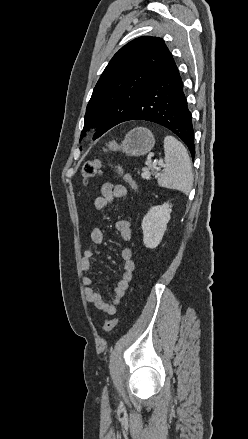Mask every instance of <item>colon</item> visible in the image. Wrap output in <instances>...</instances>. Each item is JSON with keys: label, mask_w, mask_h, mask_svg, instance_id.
<instances>
[{"label": "colon", "mask_w": 248, "mask_h": 439, "mask_svg": "<svg viewBox=\"0 0 248 439\" xmlns=\"http://www.w3.org/2000/svg\"><path fill=\"white\" fill-rule=\"evenodd\" d=\"M102 161L99 159L89 160L83 164L82 167V177L84 182L87 184L89 180L96 177L101 172ZM114 171L121 176L134 190L137 188L135 180L131 175L124 173L122 168L118 165L110 164ZM119 322V318H113L105 321L102 326L103 332H108L113 329L117 323Z\"/></svg>", "instance_id": "obj_1"}]
</instances>
